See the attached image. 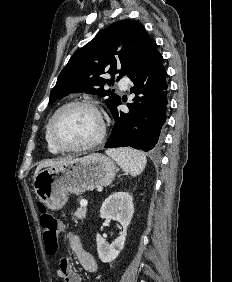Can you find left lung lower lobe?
Returning <instances> with one entry per match:
<instances>
[{
	"label": "left lung lower lobe",
	"mask_w": 232,
	"mask_h": 282,
	"mask_svg": "<svg viewBox=\"0 0 232 282\" xmlns=\"http://www.w3.org/2000/svg\"><path fill=\"white\" fill-rule=\"evenodd\" d=\"M163 57L152 40L136 67L127 75L134 86L129 112L118 111L119 101L110 111L115 124L105 148L126 147L145 152L157 150L162 144V128L166 121L168 85Z\"/></svg>",
	"instance_id": "left-lung-lower-lobe-1"
}]
</instances>
